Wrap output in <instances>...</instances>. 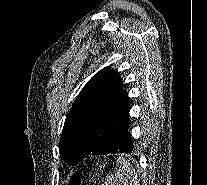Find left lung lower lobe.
I'll use <instances>...</instances> for the list:
<instances>
[{
    "instance_id": "obj_1",
    "label": "left lung lower lobe",
    "mask_w": 207,
    "mask_h": 185,
    "mask_svg": "<svg viewBox=\"0 0 207 185\" xmlns=\"http://www.w3.org/2000/svg\"><path fill=\"white\" fill-rule=\"evenodd\" d=\"M129 126V113L117 126L106 147L100 154H90V155H105L112 153H131L133 152V144L131 140V133L128 132ZM136 159L137 157L134 156ZM85 158V157H84ZM83 158V159H84Z\"/></svg>"
}]
</instances>
